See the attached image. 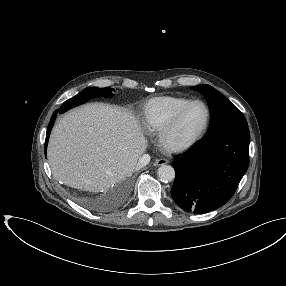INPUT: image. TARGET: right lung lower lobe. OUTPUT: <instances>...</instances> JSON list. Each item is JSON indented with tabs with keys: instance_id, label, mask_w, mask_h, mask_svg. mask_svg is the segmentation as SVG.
<instances>
[{
	"instance_id": "obj_1",
	"label": "right lung lower lobe",
	"mask_w": 286,
	"mask_h": 286,
	"mask_svg": "<svg viewBox=\"0 0 286 286\" xmlns=\"http://www.w3.org/2000/svg\"><path fill=\"white\" fill-rule=\"evenodd\" d=\"M57 113H58V110L53 113V115L51 117V120L49 122V126L47 128L46 140H45V151L47 150V144H48V140H49V135H50L51 129H52L53 125H54V121L56 119Z\"/></svg>"
}]
</instances>
